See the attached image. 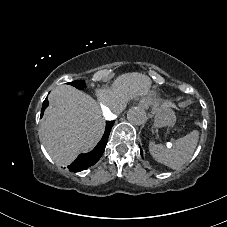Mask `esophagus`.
<instances>
[{
  "label": "esophagus",
  "mask_w": 227,
  "mask_h": 227,
  "mask_svg": "<svg viewBox=\"0 0 227 227\" xmlns=\"http://www.w3.org/2000/svg\"><path fill=\"white\" fill-rule=\"evenodd\" d=\"M139 106L143 112H148L150 110V103L146 99L141 100Z\"/></svg>",
  "instance_id": "1"
}]
</instances>
